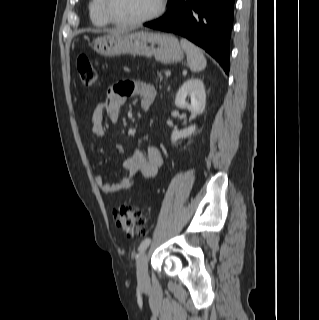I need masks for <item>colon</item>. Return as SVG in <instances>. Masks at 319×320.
I'll list each match as a JSON object with an SVG mask.
<instances>
[{
    "label": "colon",
    "instance_id": "1",
    "mask_svg": "<svg viewBox=\"0 0 319 320\" xmlns=\"http://www.w3.org/2000/svg\"><path fill=\"white\" fill-rule=\"evenodd\" d=\"M76 63L80 81L84 86H93L98 82L99 74L87 56L79 55ZM114 218L117 226L130 238L142 234L145 230L141 217L127 204H123L115 209Z\"/></svg>",
    "mask_w": 319,
    "mask_h": 320
}]
</instances>
